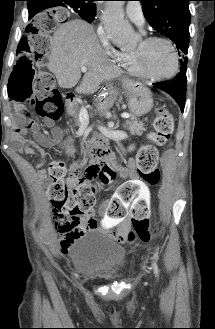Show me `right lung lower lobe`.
I'll return each instance as SVG.
<instances>
[{
	"label": "right lung lower lobe",
	"instance_id": "98d812e1",
	"mask_svg": "<svg viewBox=\"0 0 215 329\" xmlns=\"http://www.w3.org/2000/svg\"><path fill=\"white\" fill-rule=\"evenodd\" d=\"M27 7L29 11V18L43 10L42 4L37 0H28Z\"/></svg>",
	"mask_w": 215,
	"mask_h": 329
}]
</instances>
